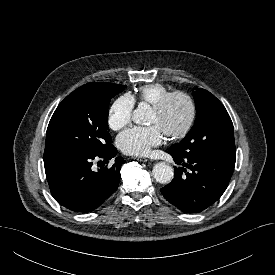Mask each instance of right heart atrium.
Instances as JSON below:
<instances>
[{"label": "right heart atrium", "mask_w": 275, "mask_h": 275, "mask_svg": "<svg viewBox=\"0 0 275 275\" xmlns=\"http://www.w3.org/2000/svg\"><path fill=\"white\" fill-rule=\"evenodd\" d=\"M134 104L129 94L121 95L112 103L108 112V125L112 130L118 131L131 122Z\"/></svg>", "instance_id": "obj_1"}]
</instances>
